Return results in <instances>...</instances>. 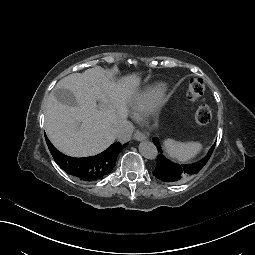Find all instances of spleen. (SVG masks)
Listing matches in <instances>:
<instances>
[{
    "instance_id": "3e777b00",
    "label": "spleen",
    "mask_w": 255,
    "mask_h": 255,
    "mask_svg": "<svg viewBox=\"0 0 255 255\" xmlns=\"http://www.w3.org/2000/svg\"><path fill=\"white\" fill-rule=\"evenodd\" d=\"M164 149L171 158H176L180 162H187L195 157L202 149L199 142H176L168 139L164 142Z\"/></svg>"
}]
</instances>
